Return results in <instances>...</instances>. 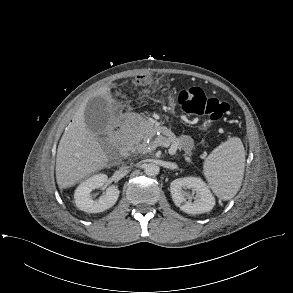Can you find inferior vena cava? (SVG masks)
<instances>
[{"label": "inferior vena cava", "instance_id": "inferior-vena-cava-1", "mask_svg": "<svg viewBox=\"0 0 293 293\" xmlns=\"http://www.w3.org/2000/svg\"><path fill=\"white\" fill-rule=\"evenodd\" d=\"M127 168H128V167H126V166L121 167L122 170H125V169H127Z\"/></svg>", "mask_w": 293, "mask_h": 293}]
</instances>
